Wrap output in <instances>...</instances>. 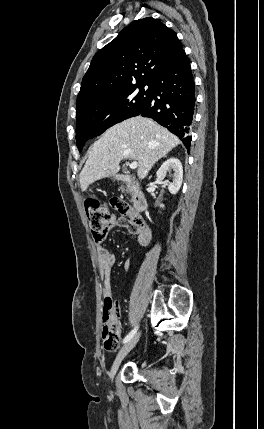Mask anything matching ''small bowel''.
<instances>
[{"instance_id": "small-bowel-1", "label": "small bowel", "mask_w": 264, "mask_h": 429, "mask_svg": "<svg viewBox=\"0 0 264 429\" xmlns=\"http://www.w3.org/2000/svg\"><path fill=\"white\" fill-rule=\"evenodd\" d=\"M114 227H124L130 233L137 236L138 242L141 246H146L151 239V231L149 227L142 221H129L126 218H116L112 216L109 220L104 235L97 239L94 238L97 247V260L100 273L103 278V297L104 300L111 298V269L116 262V256L103 246V240L107 233ZM124 269L129 272L131 265L124 264Z\"/></svg>"}]
</instances>
